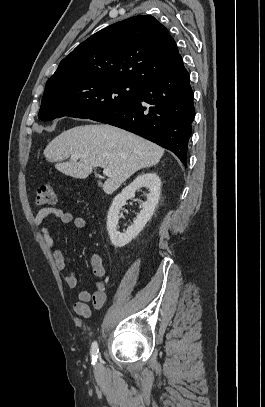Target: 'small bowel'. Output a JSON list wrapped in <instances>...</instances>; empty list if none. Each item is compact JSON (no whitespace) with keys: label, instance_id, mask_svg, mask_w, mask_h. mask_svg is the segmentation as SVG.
<instances>
[{"label":"small bowel","instance_id":"small-bowel-1","mask_svg":"<svg viewBox=\"0 0 265 407\" xmlns=\"http://www.w3.org/2000/svg\"><path fill=\"white\" fill-rule=\"evenodd\" d=\"M50 215L56 216L63 224L73 223L74 227L78 230L85 227L86 221L82 217H74L70 212L53 207L41 208L35 216V224L41 227L43 240L52 253L55 266L59 270H64L66 267L64 255L55 243L49 228L44 225V222ZM91 265L94 275L99 279L96 283V290L91 293L87 289H81L78 292V300L73 305L74 312L83 318H89L91 316L90 303L95 309H101L106 300V271L101 258L97 255L93 256ZM64 280L69 288H75L77 286V275L73 270H68Z\"/></svg>","mask_w":265,"mask_h":407}]
</instances>
